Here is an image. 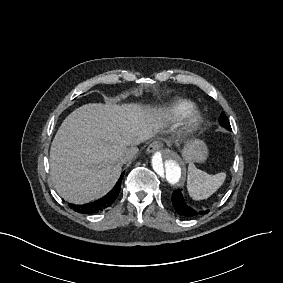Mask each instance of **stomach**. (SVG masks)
I'll return each instance as SVG.
<instances>
[{
  "label": "stomach",
  "instance_id": "obj_1",
  "mask_svg": "<svg viewBox=\"0 0 283 283\" xmlns=\"http://www.w3.org/2000/svg\"><path fill=\"white\" fill-rule=\"evenodd\" d=\"M185 161H204L207 155L206 145L199 140L187 142L182 150Z\"/></svg>",
  "mask_w": 283,
  "mask_h": 283
}]
</instances>
